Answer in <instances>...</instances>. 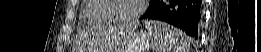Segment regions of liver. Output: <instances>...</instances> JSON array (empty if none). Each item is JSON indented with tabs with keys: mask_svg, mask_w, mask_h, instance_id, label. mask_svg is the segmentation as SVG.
<instances>
[{
	"mask_svg": "<svg viewBox=\"0 0 261 52\" xmlns=\"http://www.w3.org/2000/svg\"><path fill=\"white\" fill-rule=\"evenodd\" d=\"M131 29H132V27L130 26L126 33H129L131 31ZM118 34H119L118 30L111 31L110 29L104 30L103 32H101L100 33V35L102 36L101 47L103 49L113 47V45L116 43V40L118 38Z\"/></svg>",
	"mask_w": 261,
	"mask_h": 52,
	"instance_id": "1",
	"label": "liver"
}]
</instances>
